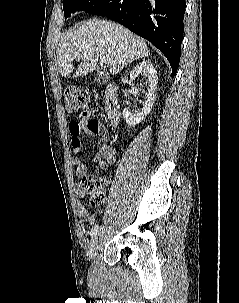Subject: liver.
I'll list each match as a JSON object with an SVG mask.
<instances>
[{
    "label": "liver",
    "mask_w": 239,
    "mask_h": 303,
    "mask_svg": "<svg viewBox=\"0 0 239 303\" xmlns=\"http://www.w3.org/2000/svg\"><path fill=\"white\" fill-rule=\"evenodd\" d=\"M60 74L70 76L73 61L82 59L75 76L94 71L98 57L111 58L109 72L114 75L133 61L150 55L146 42L114 22L92 19L70 29L56 49Z\"/></svg>",
    "instance_id": "6515ba94"
}]
</instances>
